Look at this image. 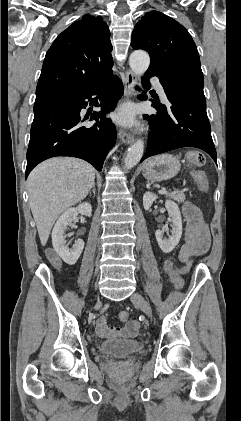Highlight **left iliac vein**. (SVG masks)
I'll return each instance as SVG.
<instances>
[{
  "instance_id": "1",
  "label": "left iliac vein",
  "mask_w": 241,
  "mask_h": 421,
  "mask_svg": "<svg viewBox=\"0 0 241 421\" xmlns=\"http://www.w3.org/2000/svg\"><path fill=\"white\" fill-rule=\"evenodd\" d=\"M131 301L139 306L142 311L148 316V317H152V309L150 304L145 300V298L139 294V293H134L131 296Z\"/></svg>"
}]
</instances>
